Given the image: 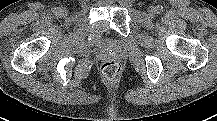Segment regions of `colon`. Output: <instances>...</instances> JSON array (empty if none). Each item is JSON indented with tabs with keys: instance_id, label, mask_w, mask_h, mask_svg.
<instances>
[{
	"instance_id": "1",
	"label": "colon",
	"mask_w": 217,
	"mask_h": 121,
	"mask_svg": "<svg viewBox=\"0 0 217 121\" xmlns=\"http://www.w3.org/2000/svg\"><path fill=\"white\" fill-rule=\"evenodd\" d=\"M120 72L121 65L116 61L105 62L101 66V73L108 80L116 78Z\"/></svg>"
}]
</instances>
